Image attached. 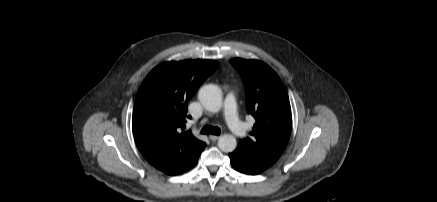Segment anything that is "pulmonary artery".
<instances>
[{
    "label": "pulmonary artery",
    "mask_w": 437,
    "mask_h": 202,
    "mask_svg": "<svg viewBox=\"0 0 437 202\" xmlns=\"http://www.w3.org/2000/svg\"><path fill=\"white\" fill-rule=\"evenodd\" d=\"M224 114L231 131L240 137L245 136L246 129L237 117L236 99L233 93H228L224 101Z\"/></svg>",
    "instance_id": "pulmonary-artery-1"
}]
</instances>
